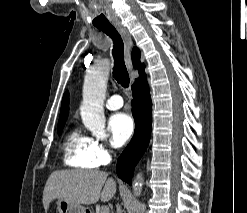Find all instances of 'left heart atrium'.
<instances>
[{"mask_svg": "<svg viewBox=\"0 0 247 213\" xmlns=\"http://www.w3.org/2000/svg\"><path fill=\"white\" fill-rule=\"evenodd\" d=\"M108 129L111 133V142L115 147H121L132 136L134 122L130 115L126 113H116L111 116Z\"/></svg>", "mask_w": 247, "mask_h": 213, "instance_id": "1", "label": "left heart atrium"}]
</instances>
